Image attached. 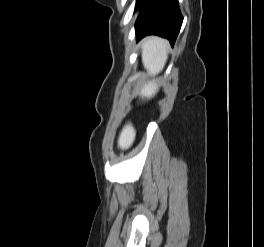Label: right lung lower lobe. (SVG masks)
Listing matches in <instances>:
<instances>
[{
  "label": "right lung lower lobe",
  "instance_id": "98d812e1",
  "mask_svg": "<svg viewBox=\"0 0 264 247\" xmlns=\"http://www.w3.org/2000/svg\"><path fill=\"white\" fill-rule=\"evenodd\" d=\"M142 2L137 0L135 10ZM182 21L178 0H147L135 24L137 41L147 35H159L173 46Z\"/></svg>",
  "mask_w": 264,
  "mask_h": 247
}]
</instances>
